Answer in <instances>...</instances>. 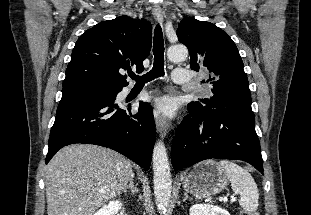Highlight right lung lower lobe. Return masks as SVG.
Segmentation results:
<instances>
[{
  "mask_svg": "<svg viewBox=\"0 0 311 215\" xmlns=\"http://www.w3.org/2000/svg\"><path fill=\"white\" fill-rule=\"evenodd\" d=\"M155 138L153 112L147 103L141 102L139 112L131 114V109H121L112 99L67 98L58 105L45 162L66 145L85 143L109 147L148 170Z\"/></svg>",
  "mask_w": 311,
  "mask_h": 215,
  "instance_id": "obj_1",
  "label": "right lung lower lobe"
}]
</instances>
